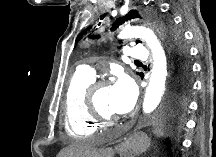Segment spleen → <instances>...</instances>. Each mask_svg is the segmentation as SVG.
I'll list each match as a JSON object with an SVG mask.
<instances>
[{
  "instance_id": "1",
  "label": "spleen",
  "mask_w": 216,
  "mask_h": 157,
  "mask_svg": "<svg viewBox=\"0 0 216 157\" xmlns=\"http://www.w3.org/2000/svg\"><path fill=\"white\" fill-rule=\"evenodd\" d=\"M154 134H156L158 137H163L164 133L161 129H155Z\"/></svg>"
}]
</instances>
